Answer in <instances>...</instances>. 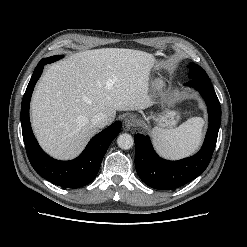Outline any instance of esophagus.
<instances>
[{
  "mask_svg": "<svg viewBox=\"0 0 247 247\" xmlns=\"http://www.w3.org/2000/svg\"><path fill=\"white\" fill-rule=\"evenodd\" d=\"M137 123V117L133 114H128L124 118V125L126 128L134 127L137 125Z\"/></svg>",
  "mask_w": 247,
  "mask_h": 247,
  "instance_id": "esophagus-1",
  "label": "esophagus"
}]
</instances>
